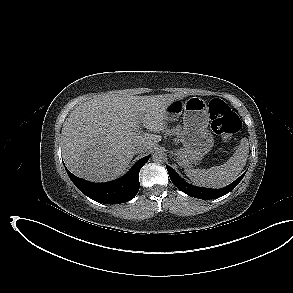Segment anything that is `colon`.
Segmentation results:
<instances>
[{
    "label": "colon",
    "mask_w": 293,
    "mask_h": 293,
    "mask_svg": "<svg viewBox=\"0 0 293 293\" xmlns=\"http://www.w3.org/2000/svg\"><path fill=\"white\" fill-rule=\"evenodd\" d=\"M208 109L213 131L225 141H231L242 126L239 116L218 98L209 101Z\"/></svg>",
    "instance_id": "colon-1"
}]
</instances>
